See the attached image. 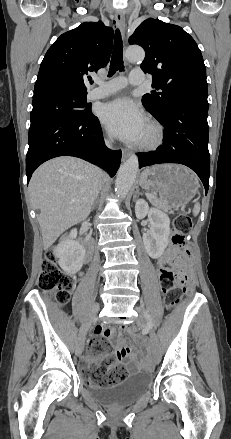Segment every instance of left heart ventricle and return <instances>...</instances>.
Masks as SVG:
<instances>
[{
    "label": "left heart ventricle",
    "mask_w": 231,
    "mask_h": 439,
    "mask_svg": "<svg viewBox=\"0 0 231 439\" xmlns=\"http://www.w3.org/2000/svg\"><path fill=\"white\" fill-rule=\"evenodd\" d=\"M147 134H148V127H147V129H146V131H145V134H144L143 138H144Z\"/></svg>",
    "instance_id": "left-heart-ventricle-1"
}]
</instances>
